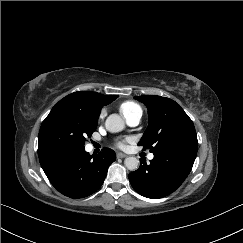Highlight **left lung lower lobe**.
<instances>
[{
  "label": "left lung lower lobe",
  "mask_w": 243,
  "mask_h": 243,
  "mask_svg": "<svg viewBox=\"0 0 243 243\" xmlns=\"http://www.w3.org/2000/svg\"><path fill=\"white\" fill-rule=\"evenodd\" d=\"M197 146V141H183L152 152L150 164L141 161L139 169L129 174L133 189L147 198H162L174 192L190 173Z\"/></svg>",
  "instance_id": "left-lung-lower-lobe-1"
}]
</instances>
